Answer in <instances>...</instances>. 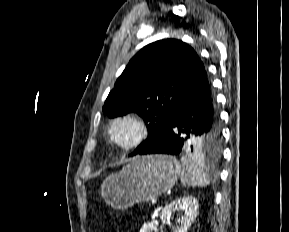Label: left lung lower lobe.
Returning <instances> with one entry per match:
<instances>
[{
  "label": "left lung lower lobe",
  "mask_w": 289,
  "mask_h": 232,
  "mask_svg": "<svg viewBox=\"0 0 289 232\" xmlns=\"http://www.w3.org/2000/svg\"><path fill=\"white\" fill-rule=\"evenodd\" d=\"M220 130L214 96L205 69L196 77L176 105L166 129L136 154L192 152L197 140L216 138Z\"/></svg>",
  "instance_id": "obj_1"
}]
</instances>
